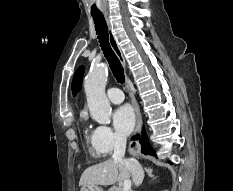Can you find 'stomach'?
I'll use <instances>...</instances> for the list:
<instances>
[{
    "instance_id": "1",
    "label": "stomach",
    "mask_w": 233,
    "mask_h": 191,
    "mask_svg": "<svg viewBox=\"0 0 233 191\" xmlns=\"http://www.w3.org/2000/svg\"><path fill=\"white\" fill-rule=\"evenodd\" d=\"M80 191H103L99 186H82Z\"/></svg>"
}]
</instances>
